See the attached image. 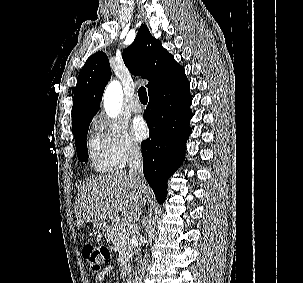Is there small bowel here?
Masks as SVG:
<instances>
[{
  "mask_svg": "<svg viewBox=\"0 0 303 283\" xmlns=\"http://www.w3.org/2000/svg\"><path fill=\"white\" fill-rule=\"evenodd\" d=\"M112 269V266H106L100 273L97 274L96 278H95V283H101L105 276L107 275V273Z\"/></svg>",
  "mask_w": 303,
  "mask_h": 283,
  "instance_id": "small-bowel-1",
  "label": "small bowel"
}]
</instances>
